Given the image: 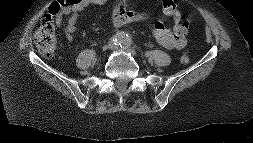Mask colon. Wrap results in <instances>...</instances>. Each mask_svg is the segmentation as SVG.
Returning <instances> with one entry per match:
<instances>
[{
    "instance_id": "colon-1",
    "label": "colon",
    "mask_w": 253,
    "mask_h": 143,
    "mask_svg": "<svg viewBox=\"0 0 253 143\" xmlns=\"http://www.w3.org/2000/svg\"><path fill=\"white\" fill-rule=\"evenodd\" d=\"M74 0H58L53 3L48 14L42 19L39 27L34 34V42L38 51L45 57H51L56 49V37H55V25L53 17L60 11V8L66 5H70ZM173 11L177 9V6H172ZM189 29V22L182 19L177 24V32L181 35H186ZM182 64H187L190 61V57L187 51H184L180 57Z\"/></svg>"
}]
</instances>
